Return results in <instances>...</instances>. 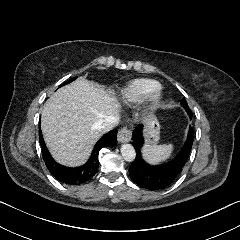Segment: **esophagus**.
<instances>
[{
  "instance_id": "obj_1",
  "label": "esophagus",
  "mask_w": 240,
  "mask_h": 240,
  "mask_svg": "<svg viewBox=\"0 0 240 240\" xmlns=\"http://www.w3.org/2000/svg\"><path fill=\"white\" fill-rule=\"evenodd\" d=\"M131 130H129L126 127H123L122 129L119 130L117 139L118 142L124 143V142H129L131 140Z\"/></svg>"
}]
</instances>
